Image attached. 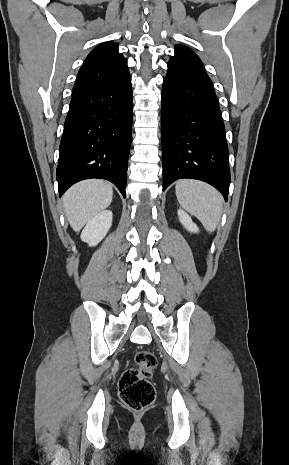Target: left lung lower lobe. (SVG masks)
<instances>
[{"label": "left lung lower lobe", "instance_id": "0a47b994", "mask_svg": "<svg viewBox=\"0 0 289 465\" xmlns=\"http://www.w3.org/2000/svg\"><path fill=\"white\" fill-rule=\"evenodd\" d=\"M163 190L180 178L205 181L228 198L225 127L206 73L168 69L162 89Z\"/></svg>", "mask_w": 289, "mask_h": 465}]
</instances>
